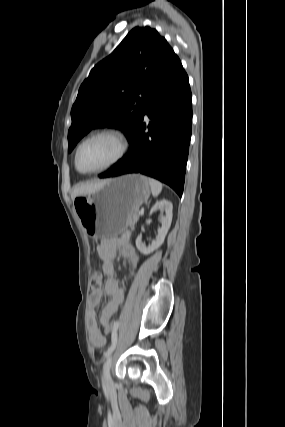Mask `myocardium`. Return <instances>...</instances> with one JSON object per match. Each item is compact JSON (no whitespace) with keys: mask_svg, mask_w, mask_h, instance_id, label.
I'll list each match as a JSON object with an SVG mask.
<instances>
[{"mask_svg":"<svg viewBox=\"0 0 285 427\" xmlns=\"http://www.w3.org/2000/svg\"><path fill=\"white\" fill-rule=\"evenodd\" d=\"M102 135H110L113 136L114 138H116L119 143H120V149L118 154L116 155V157L109 162L108 164H106L105 166L96 169V170H92V171H84L80 168L79 166V162H78V158H79V153L81 148L91 139L98 137V136H102ZM129 148V142L127 137L125 136V134L123 132H121L120 130L114 129V128H104L101 130H98L92 134H90L89 136H87L77 147L76 152H75V157H74V163H75V167L76 169L82 173V174H97V173H101L104 171L109 170L110 168L114 167L116 164H118L126 155L127 151Z\"/></svg>","mask_w":285,"mask_h":427,"instance_id":"1","label":"myocardium"}]
</instances>
